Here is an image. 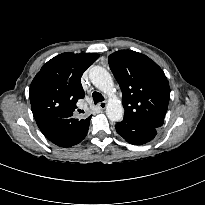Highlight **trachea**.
Returning <instances> with one entry per match:
<instances>
[{"instance_id":"trachea-1","label":"trachea","mask_w":205,"mask_h":205,"mask_svg":"<svg viewBox=\"0 0 205 205\" xmlns=\"http://www.w3.org/2000/svg\"><path fill=\"white\" fill-rule=\"evenodd\" d=\"M92 97L95 104L104 101V97L99 92H93Z\"/></svg>"}]
</instances>
